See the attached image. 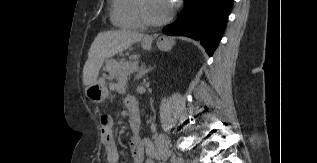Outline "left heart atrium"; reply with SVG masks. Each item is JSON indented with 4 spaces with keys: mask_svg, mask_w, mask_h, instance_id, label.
<instances>
[{
    "mask_svg": "<svg viewBox=\"0 0 317 163\" xmlns=\"http://www.w3.org/2000/svg\"><path fill=\"white\" fill-rule=\"evenodd\" d=\"M168 8L171 10L175 5L176 0H165Z\"/></svg>",
    "mask_w": 317,
    "mask_h": 163,
    "instance_id": "left-heart-atrium-1",
    "label": "left heart atrium"
}]
</instances>
